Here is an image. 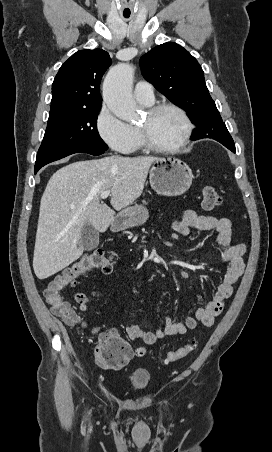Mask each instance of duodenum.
<instances>
[{
	"instance_id": "obj_1",
	"label": "duodenum",
	"mask_w": 272,
	"mask_h": 452,
	"mask_svg": "<svg viewBox=\"0 0 272 452\" xmlns=\"http://www.w3.org/2000/svg\"><path fill=\"white\" fill-rule=\"evenodd\" d=\"M122 224H121V220H120V218H118V217H115L113 220H112V222H111V224H110V230L112 231V232H116V231H119V230H122Z\"/></svg>"
}]
</instances>
